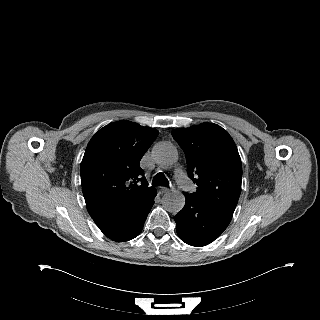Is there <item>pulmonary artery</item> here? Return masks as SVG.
Returning <instances> with one entry per match:
<instances>
[{
    "mask_svg": "<svg viewBox=\"0 0 320 320\" xmlns=\"http://www.w3.org/2000/svg\"><path fill=\"white\" fill-rule=\"evenodd\" d=\"M175 179L177 184L181 187L190 185V181L187 179L186 175L182 171H177L175 173Z\"/></svg>",
    "mask_w": 320,
    "mask_h": 320,
    "instance_id": "obj_1",
    "label": "pulmonary artery"
}]
</instances>
